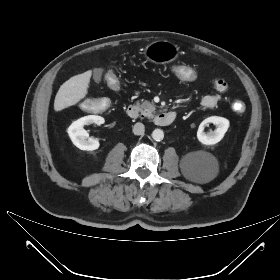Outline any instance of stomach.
<instances>
[{"label": "stomach", "mask_w": 280, "mask_h": 280, "mask_svg": "<svg viewBox=\"0 0 280 280\" xmlns=\"http://www.w3.org/2000/svg\"><path fill=\"white\" fill-rule=\"evenodd\" d=\"M179 54V47L167 40L150 43L145 49L148 60L154 63H168L174 61Z\"/></svg>", "instance_id": "stomach-1"}]
</instances>
